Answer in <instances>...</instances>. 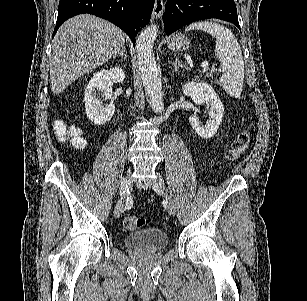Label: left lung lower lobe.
Masks as SVG:
<instances>
[{
    "label": "left lung lower lobe",
    "instance_id": "obj_1",
    "mask_svg": "<svg viewBox=\"0 0 307 301\" xmlns=\"http://www.w3.org/2000/svg\"><path fill=\"white\" fill-rule=\"evenodd\" d=\"M209 18L229 21L240 29L233 0H167L163 14L167 35L186 24Z\"/></svg>",
    "mask_w": 307,
    "mask_h": 301
}]
</instances>
